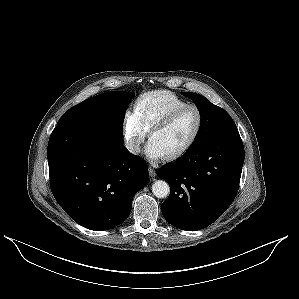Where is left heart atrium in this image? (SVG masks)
I'll list each match as a JSON object with an SVG mask.
<instances>
[{
  "label": "left heart atrium",
  "mask_w": 299,
  "mask_h": 299,
  "mask_svg": "<svg viewBox=\"0 0 299 299\" xmlns=\"http://www.w3.org/2000/svg\"><path fill=\"white\" fill-rule=\"evenodd\" d=\"M145 153L148 158L153 160L161 159L166 156L165 152L152 139H150L146 145Z\"/></svg>",
  "instance_id": "39dd6f15"
}]
</instances>
